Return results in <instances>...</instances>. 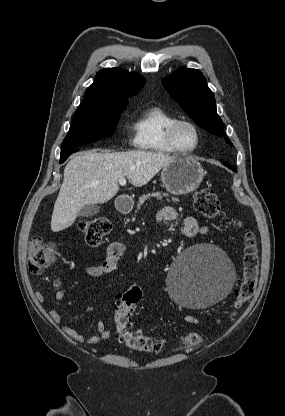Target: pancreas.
Wrapping results in <instances>:
<instances>
[{
  "label": "pancreas",
  "instance_id": "1",
  "mask_svg": "<svg viewBox=\"0 0 285 416\" xmlns=\"http://www.w3.org/2000/svg\"><path fill=\"white\" fill-rule=\"evenodd\" d=\"M163 196H169V194H160V192H153V194H147V196H141L138 202V210H140L141 206H143L144 202L148 200V198H157V200H162ZM173 202H179L178 198H172ZM169 202V200H168Z\"/></svg>",
  "mask_w": 285,
  "mask_h": 416
}]
</instances>
